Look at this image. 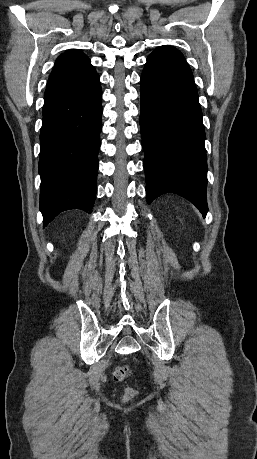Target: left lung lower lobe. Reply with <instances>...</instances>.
Returning <instances> with one entry per match:
<instances>
[{
    "mask_svg": "<svg viewBox=\"0 0 257 459\" xmlns=\"http://www.w3.org/2000/svg\"><path fill=\"white\" fill-rule=\"evenodd\" d=\"M140 130L145 152L146 197L181 195L205 217V131L192 71L182 53L158 48L141 75Z\"/></svg>",
    "mask_w": 257,
    "mask_h": 459,
    "instance_id": "obj_1",
    "label": "left lung lower lobe"
}]
</instances>
